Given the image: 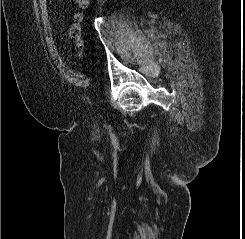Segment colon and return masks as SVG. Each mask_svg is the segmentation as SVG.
<instances>
[{"label": "colon", "instance_id": "obj_1", "mask_svg": "<svg viewBox=\"0 0 245 239\" xmlns=\"http://www.w3.org/2000/svg\"><path fill=\"white\" fill-rule=\"evenodd\" d=\"M79 8V12L75 13L74 20L72 25L69 28V36L74 41L75 46L79 51V55H82L84 48L83 40V31H82V22H83V13L82 10H85L88 7L89 0H75Z\"/></svg>", "mask_w": 245, "mask_h": 239}]
</instances>
